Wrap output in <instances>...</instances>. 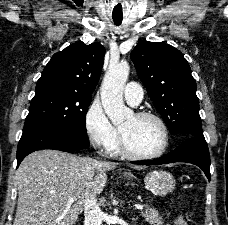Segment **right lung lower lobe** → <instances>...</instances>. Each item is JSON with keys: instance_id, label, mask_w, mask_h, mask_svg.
<instances>
[{"instance_id": "1", "label": "right lung lower lobe", "mask_w": 228, "mask_h": 225, "mask_svg": "<svg viewBox=\"0 0 228 225\" xmlns=\"http://www.w3.org/2000/svg\"><path fill=\"white\" fill-rule=\"evenodd\" d=\"M89 147L86 133L56 123L25 125L17 147V167L28 154L42 149L73 153Z\"/></svg>"}]
</instances>
